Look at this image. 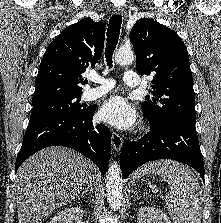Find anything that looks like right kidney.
Segmentation results:
<instances>
[{
  "mask_svg": "<svg viewBox=\"0 0 221 223\" xmlns=\"http://www.w3.org/2000/svg\"><path fill=\"white\" fill-rule=\"evenodd\" d=\"M82 217L83 211L77 206L60 211L49 223H71V221L79 223Z\"/></svg>",
  "mask_w": 221,
  "mask_h": 223,
  "instance_id": "right-kidney-1",
  "label": "right kidney"
}]
</instances>
